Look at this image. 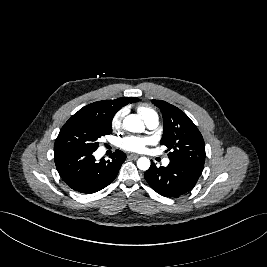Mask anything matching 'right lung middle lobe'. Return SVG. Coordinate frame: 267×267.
<instances>
[{
    "label": "right lung middle lobe",
    "mask_w": 267,
    "mask_h": 267,
    "mask_svg": "<svg viewBox=\"0 0 267 267\" xmlns=\"http://www.w3.org/2000/svg\"><path fill=\"white\" fill-rule=\"evenodd\" d=\"M112 133V121L101 118H70L61 128L55 141L54 151L91 150L95 151L102 136Z\"/></svg>",
    "instance_id": "right-lung-middle-lobe-1"
}]
</instances>
